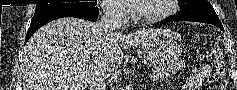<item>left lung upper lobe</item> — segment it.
Segmentation results:
<instances>
[{
    "label": "left lung upper lobe",
    "instance_id": "5c2ea615",
    "mask_svg": "<svg viewBox=\"0 0 237 90\" xmlns=\"http://www.w3.org/2000/svg\"><path fill=\"white\" fill-rule=\"evenodd\" d=\"M179 3L181 10L177 15L220 23L216 12L207 0H179Z\"/></svg>",
    "mask_w": 237,
    "mask_h": 90
}]
</instances>
